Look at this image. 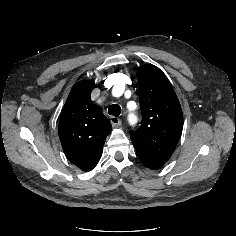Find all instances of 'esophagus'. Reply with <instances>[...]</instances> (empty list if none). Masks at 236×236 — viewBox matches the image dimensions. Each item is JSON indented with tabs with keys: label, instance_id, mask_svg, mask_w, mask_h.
I'll use <instances>...</instances> for the list:
<instances>
[{
	"label": "esophagus",
	"instance_id": "obj_1",
	"mask_svg": "<svg viewBox=\"0 0 236 236\" xmlns=\"http://www.w3.org/2000/svg\"><path fill=\"white\" fill-rule=\"evenodd\" d=\"M110 121H111V124L113 125V126H120L121 125V120L118 118V117H116V116H112L111 118H110Z\"/></svg>",
	"mask_w": 236,
	"mask_h": 236
}]
</instances>
